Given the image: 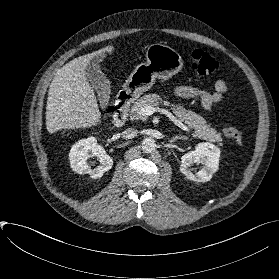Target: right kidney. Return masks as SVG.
Returning <instances> with one entry per match:
<instances>
[{
	"label": "right kidney",
	"instance_id": "obj_1",
	"mask_svg": "<svg viewBox=\"0 0 279 279\" xmlns=\"http://www.w3.org/2000/svg\"><path fill=\"white\" fill-rule=\"evenodd\" d=\"M97 157L100 164L91 168L87 160ZM71 168L79 174H89L92 178H100L103 173L111 169L113 165L112 158L107 155L104 148L97 143L95 137L91 136L79 140L75 143L69 153Z\"/></svg>",
	"mask_w": 279,
	"mask_h": 279
}]
</instances>
